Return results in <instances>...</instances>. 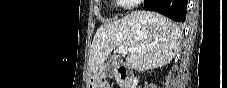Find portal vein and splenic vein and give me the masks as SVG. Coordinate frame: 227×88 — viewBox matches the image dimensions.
<instances>
[{"instance_id":"18ae733b","label":"portal vein and splenic vein","mask_w":227,"mask_h":88,"mask_svg":"<svg viewBox=\"0 0 227 88\" xmlns=\"http://www.w3.org/2000/svg\"><path fill=\"white\" fill-rule=\"evenodd\" d=\"M118 51H119V53L127 55L130 50L127 47L120 46V47H118Z\"/></svg>"}]
</instances>
